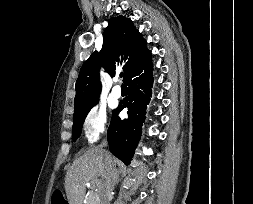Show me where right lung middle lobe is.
Listing matches in <instances>:
<instances>
[{
	"label": "right lung middle lobe",
	"instance_id": "right-lung-middle-lobe-1",
	"mask_svg": "<svg viewBox=\"0 0 253 204\" xmlns=\"http://www.w3.org/2000/svg\"><path fill=\"white\" fill-rule=\"evenodd\" d=\"M98 101L92 103L91 105L79 110L78 112L74 113V120H73V131L72 136L73 139L76 140L82 131V125L84 122V119L86 118L88 112L90 109L97 103Z\"/></svg>",
	"mask_w": 253,
	"mask_h": 204
}]
</instances>
